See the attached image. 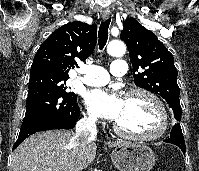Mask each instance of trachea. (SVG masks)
Returning a JSON list of instances; mask_svg holds the SVG:
<instances>
[{"mask_svg": "<svg viewBox=\"0 0 199 171\" xmlns=\"http://www.w3.org/2000/svg\"><path fill=\"white\" fill-rule=\"evenodd\" d=\"M110 22H111V19L108 18L105 21L101 22V25L99 27L98 45H99L100 50H102L107 43L108 29H109Z\"/></svg>", "mask_w": 199, "mask_h": 171, "instance_id": "1", "label": "trachea"}]
</instances>
